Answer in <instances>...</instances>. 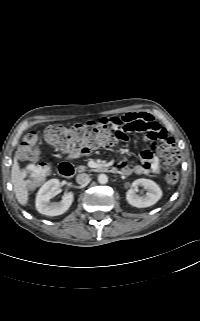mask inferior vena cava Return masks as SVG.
<instances>
[{
	"label": "inferior vena cava",
	"mask_w": 200,
	"mask_h": 321,
	"mask_svg": "<svg viewBox=\"0 0 200 321\" xmlns=\"http://www.w3.org/2000/svg\"><path fill=\"white\" fill-rule=\"evenodd\" d=\"M89 180V175L86 173H81L76 176V181L78 184H85Z\"/></svg>",
	"instance_id": "602c4592"
}]
</instances>
